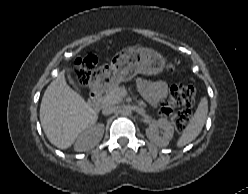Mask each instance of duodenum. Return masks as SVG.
<instances>
[{"label": "duodenum", "mask_w": 248, "mask_h": 194, "mask_svg": "<svg viewBox=\"0 0 248 194\" xmlns=\"http://www.w3.org/2000/svg\"><path fill=\"white\" fill-rule=\"evenodd\" d=\"M101 88H94L91 90L87 105L91 110H97L100 104Z\"/></svg>", "instance_id": "1"}]
</instances>
